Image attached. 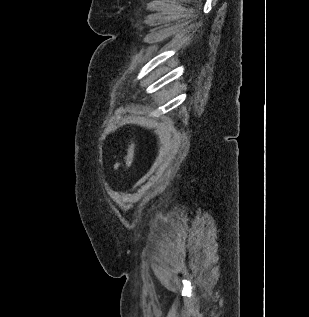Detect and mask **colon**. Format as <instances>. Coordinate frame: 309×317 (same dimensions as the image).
I'll return each instance as SVG.
<instances>
[{"instance_id":"5ec220e1","label":"colon","mask_w":309,"mask_h":317,"mask_svg":"<svg viewBox=\"0 0 309 317\" xmlns=\"http://www.w3.org/2000/svg\"><path fill=\"white\" fill-rule=\"evenodd\" d=\"M136 145L134 142H131L128 148L127 157H126V165L130 167L133 163L135 156Z\"/></svg>"}]
</instances>
